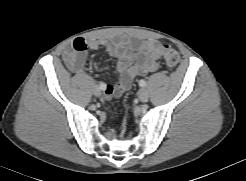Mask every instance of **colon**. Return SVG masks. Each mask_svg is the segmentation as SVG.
<instances>
[{
	"label": "colon",
	"mask_w": 246,
	"mask_h": 181,
	"mask_svg": "<svg viewBox=\"0 0 246 181\" xmlns=\"http://www.w3.org/2000/svg\"><path fill=\"white\" fill-rule=\"evenodd\" d=\"M162 56L169 68H175L180 61L179 53L169 45H165L162 48ZM108 96V95H107Z\"/></svg>",
	"instance_id": "colon-1"
}]
</instances>
